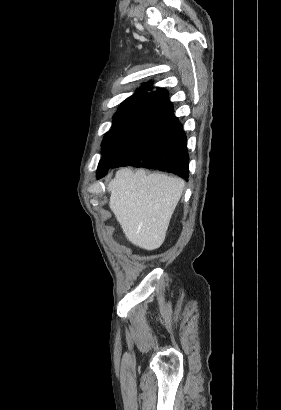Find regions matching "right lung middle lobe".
Wrapping results in <instances>:
<instances>
[{
  "mask_svg": "<svg viewBox=\"0 0 281 410\" xmlns=\"http://www.w3.org/2000/svg\"><path fill=\"white\" fill-rule=\"evenodd\" d=\"M170 111L143 105H125L114 115L111 130L102 142V157L97 175L112 166Z\"/></svg>",
  "mask_w": 281,
  "mask_h": 410,
  "instance_id": "dd1d6c3e",
  "label": "right lung middle lobe"
}]
</instances>
